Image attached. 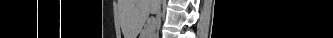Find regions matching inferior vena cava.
<instances>
[{"label": "inferior vena cava", "instance_id": "inferior-vena-cava-1", "mask_svg": "<svg viewBox=\"0 0 333 38\" xmlns=\"http://www.w3.org/2000/svg\"><path fill=\"white\" fill-rule=\"evenodd\" d=\"M160 2H161V0H158L159 8H158L157 18H156V24L157 25H160V23H161ZM153 35H155V31H154Z\"/></svg>", "mask_w": 333, "mask_h": 38}]
</instances>
